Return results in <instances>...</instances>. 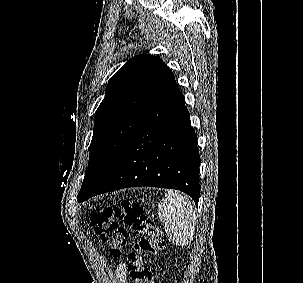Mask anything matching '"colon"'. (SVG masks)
I'll list each match as a JSON object with an SVG mask.
<instances>
[{
    "mask_svg": "<svg viewBox=\"0 0 303 283\" xmlns=\"http://www.w3.org/2000/svg\"><path fill=\"white\" fill-rule=\"evenodd\" d=\"M119 222L140 236L128 254L130 283H152L146 261L164 248L162 235L139 203L123 200L119 206L97 207L91 213V223L113 257H119L128 242V232Z\"/></svg>",
    "mask_w": 303,
    "mask_h": 283,
    "instance_id": "1",
    "label": "colon"
}]
</instances>
